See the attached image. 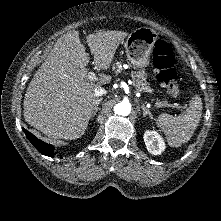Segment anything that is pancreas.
I'll return each mask as SVG.
<instances>
[{
	"instance_id": "obj_1",
	"label": "pancreas",
	"mask_w": 221,
	"mask_h": 221,
	"mask_svg": "<svg viewBox=\"0 0 221 221\" xmlns=\"http://www.w3.org/2000/svg\"><path fill=\"white\" fill-rule=\"evenodd\" d=\"M121 67L120 63H116L113 68L116 69V72H119ZM133 77V84L136 87L138 91L143 92H152V89L149 87V84L146 82L145 72L144 71H138L132 73ZM163 105V104H161Z\"/></svg>"
}]
</instances>
